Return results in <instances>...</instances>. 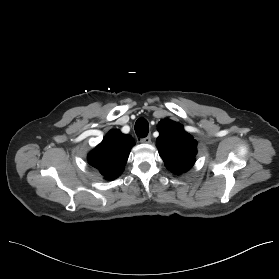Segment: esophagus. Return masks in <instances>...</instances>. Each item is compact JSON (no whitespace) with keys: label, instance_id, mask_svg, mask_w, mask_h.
Masks as SVG:
<instances>
[{"label":"esophagus","instance_id":"esophagus-1","mask_svg":"<svg viewBox=\"0 0 279 279\" xmlns=\"http://www.w3.org/2000/svg\"><path fill=\"white\" fill-rule=\"evenodd\" d=\"M142 143L149 144L151 143V136L148 135L147 137L140 140Z\"/></svg>","mask_w":279,"mask_h":279}]
</instances>
